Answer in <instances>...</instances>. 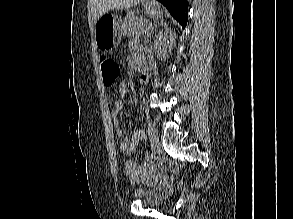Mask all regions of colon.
I'll list each match as a JSON object with an SVG mask.
<instances>
[{"instance_id":"obj_1","label":"colon","mask_w":293,"mask_h":219,"mask_svg":"<svg viewBox=\"0 0 293 219\" xmlns=\"http://www.w3.org/2000/svg\"><path fill=\"white\" fill-rule=\"evenodd\" d=\"M100 66L104 85L112 86L120 73L119 65L116 59L110 55H101ZM125 167L131 176L135 175L136 169L132 160H128L125 164Z\"/></svg>"}]
</instances>
